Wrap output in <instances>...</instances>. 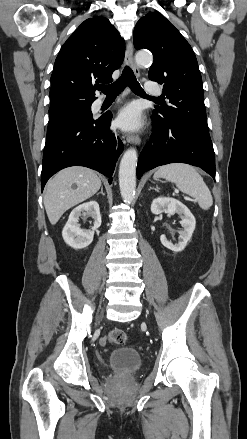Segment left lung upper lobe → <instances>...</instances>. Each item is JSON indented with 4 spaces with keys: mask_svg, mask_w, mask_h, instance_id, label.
<instances>
[{
    "mask_svg": "<svg viewBox=\"0 0 247 439\" xmlns=\"http://www.w3.org/2000/svg\"><path fill=\"white\" fill-rule=\"evenodd\" d=\"M134 46L153 53L148 76L164 85V95L172 104L155 106L152 116L164 122L188 119L208 128L198 63L180 32L163 15L152 12L136 24Z\"/></svg>",
    "mask_w": 247,
    "mask_h": 439,
    "instance_id": "obj_1",
    "label": "left lung upper lobe"
}]
</instances>
